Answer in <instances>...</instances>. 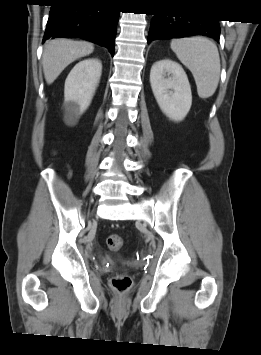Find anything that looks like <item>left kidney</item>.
Segmentation results:
<instances>
[{
	"label": "left kidney",
	"mask_w": 261,
	"mask_h": 355,
	"mask_svg": "<svg viewBox=\"0 0 261 355\" xmlns=\"http://www.w3.org/2000/svg\"><path fill=\"white\" fill-rule=\"evenodd\" d=\"M150 83L162 112L173 121H182L192 104L191 87L182 66L170 59L155 62Z\"/></svg>",
	"instance_id": "left-kidney-1"
}]
</instances>
